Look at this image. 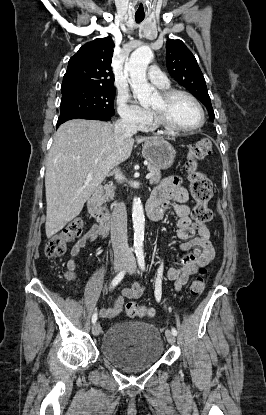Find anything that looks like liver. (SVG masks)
Returning a JSON list of instances; mask_svg holds the SVG:
<instances>
[{"instance_id":"1","label":"liver","mask_w":266,"mask_h":415,"mask_svg":"<svg viewBox=\"0 0 266 415\" xmlns=\"http://www.w3.org/2000/svg\"><path fill=\"white\" fill-rule=\"evenodd\" d=\"M150 140L164 139L136 138L137 143ZM134 141L128 136L117 145L114 126L102 121L74 119L58 128L45 174L47 238L79 215L108 173L130 157Z\"/></svg>"}]
</instances>
